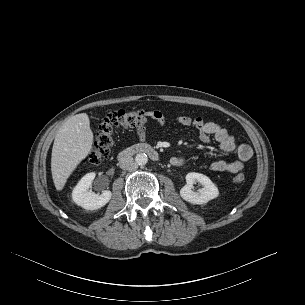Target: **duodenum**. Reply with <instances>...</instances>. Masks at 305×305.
I'll list each match as a JSON object with an SVG mask.
<instances>
[{"label":"duodenum","mask_w":305,"mask_h":305,"mask_svg":"<svg viewBox=\"0 0 305 305\" xmlns=\"http://www.w3.org/2000/svg\"><path fill=\"white\" fill-rule=\"evenodd\" d=\"M140 153H144L154 160L159 159L158 151L154 147H152L148 144H136V145H132V146L126 147L124 149H121L118 152V158H124L126 156L140 154Z\"/></svg>","instance_id":"duodenum-1"}]
</instances>
